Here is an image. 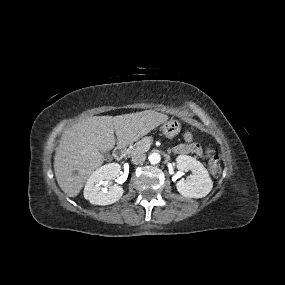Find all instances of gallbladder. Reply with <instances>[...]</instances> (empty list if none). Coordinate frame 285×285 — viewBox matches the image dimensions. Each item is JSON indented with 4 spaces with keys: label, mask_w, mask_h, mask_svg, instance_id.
<instances>
[{
    "label": "gallbladder",
    "mask_w": 285,
    "mask_h": 285,
    "mask_svg": "<svg viewBox=\"0 0 285 285\" xmlns=\"http://www.w3.org/2000/svg\"><path fill=\"white\" fill-rule=\"evenodd\" d=\"M103 157L105 160H111V156L109 153H107V151L103 152Z\"/></svg>",
    "instance_id": "obj_1"
}]
</instances>
